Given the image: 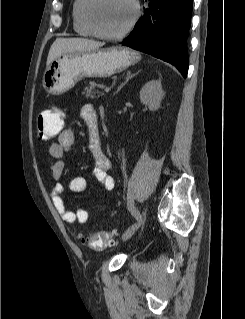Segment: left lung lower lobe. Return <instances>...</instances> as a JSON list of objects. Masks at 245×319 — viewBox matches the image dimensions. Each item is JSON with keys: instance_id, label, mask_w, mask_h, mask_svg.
<instances>
[{"instance_id": "0a47b994", "label": "left lung lower lobe", "mask_w": 245, "mask_h": 319, "mask_svg": "<svg viewBox=\"0 0 245 319\" xmlns=\"http://www.w3.org/2000/svg\"><path fill=\"white\" fill-rule=\"evenodd\" d=\"M149 8L122 43L174 65L184 78L193 0H146Z\"/></svg>"}]
</instances>
